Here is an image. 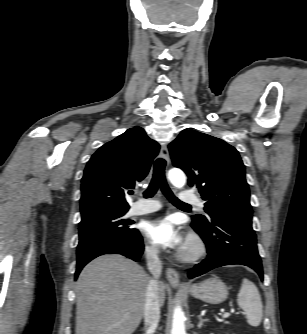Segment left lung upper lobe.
I'll return each mask as SVG.
<instances>
[{"mask_svg": "<svg viewBox=\"0 0 307 334\" xmlns=\"http://www.w3.org/2000/svg\"><path fill=\"white\" fill-rule=\"evenodd\" d=\"M175 167L188 175L191 188L205 200L209 218L194 216L193 222L209 227L219 216L252 219L245 166L238 151L225 141L194 130H184L169 144Z\"/></svg>", "mask_w": 307, "mask_h": 334, "instance_id": "5c2ea615", "label": "left lung upper lobe"}]
</instances>
